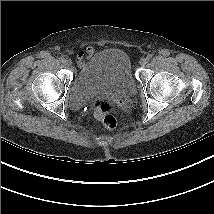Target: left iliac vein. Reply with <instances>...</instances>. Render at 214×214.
Masks as SVG:
<instances>
[{"instance_id":"4c4485c4","label":"left iliac vein","mask_w":214,"mask_h":214,"mask_svg":"<svg viewBox=\"0 0 214 214\" xmlns=\"http://www.w3.org/2000/svg\"><path fill=\"white\" fill-rule=\"evenodd\" d=\"M139 63H140L141 66H145L146 63H147V59L146 58H142V59H140Z\"/></svg>"}]
</instances>
